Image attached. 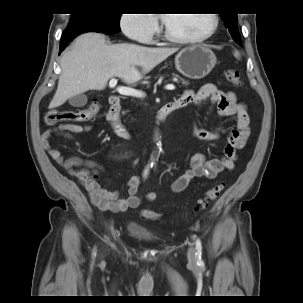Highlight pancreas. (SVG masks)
Returning <instances> with one entry per match:
<instances>
[{
	"label": "pancreas",
	"mask_w": 303,
	"mask_h": 303,
	"mask_svg": "<svg viewBox=\"0 0 303 303\" xmlns=\"http://www.w3.org/2000/svg\"><path fill=\"white\" fill-rule=\"evenodd\" d=\"M174 77L177 78V79H180L181 82H182V84L185 85V86H187L189 84L188 81H186L185 79L181 78L179 75H175L174 74Z\"/></svg>",
	"instance_id": "obj_1"
}]
</instances>
